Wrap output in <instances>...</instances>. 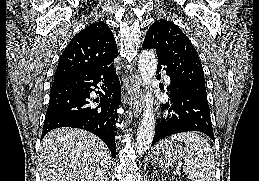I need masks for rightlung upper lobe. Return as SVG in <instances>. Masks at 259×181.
I'll list each match as a JSON object with an SVG mask.
<instances>
[{
	"mask_svg": "<svg viewBox=\"0 0 259 181\" xmlns=\"http://www.w3.org/2000/svg\"><path fill=\"white\" fill-rule=\"evenodd\" d=\"M117 55V45L110 28L104 22H95L75 35L67 45L60 57L54 81L107 66Z\"/></svg>",
	"mask_w": 259,
	"mask_h": 181,
	"instance_id": "obj_1",
	"label": "right lung upper lobe"
}]
</instances>
